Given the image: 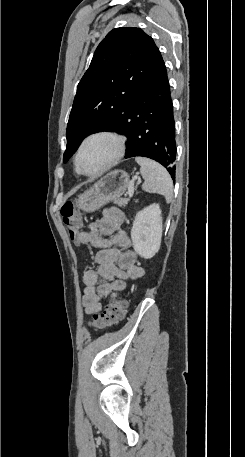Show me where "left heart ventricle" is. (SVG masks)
Listing matches in <instances>:
<instances>
[{
    "label": "left heart ventricle",
    "mask_w": 245,
    "mask_h": 457,
    "mask_svg": "<svg viewBox=\"0 0 245 457\" xmlns=\"http://www.w3.org/2000/svg\"><path fill=\"white\" fill-rule=\"evenodd\" d=\"M113 145V141L105 137L90 140L80 158L82 168L87 172L101 169L111 159Z\"/></svg>",
    "instance_id": "left-heart-ventricle-1"
}]
</instances>
